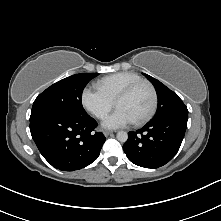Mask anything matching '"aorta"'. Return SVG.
<instances>
[{"label":"aorta","instance_id":"1","mask_svg":"<svg viewBox=\"0 0 221 221\" xmlns=\"http://www.w3.org/2000/svg\"><path fill=\"white\" fill-rule=\"evenodd\" d=\"M116 136H117V139L123 143L126 142L128 139V134L125 131H119Z\"/></svg>","mask_w":221,"mask_h":221}]
</instances>
